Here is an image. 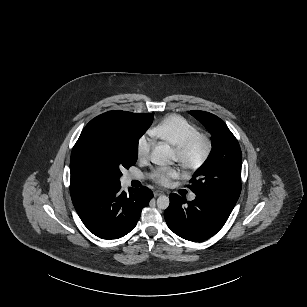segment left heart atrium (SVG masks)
<instances>
[{"label":"left heart atrium","mask_w":307,"mask_h":307,"mask_svg":"<svg viewBox=\"0 0 307 307\" xmlns=\"http://www.w3.org/2000/svg\"><path fill=\"white\" fill-rule=\"evenodd\" d=\"M150 178L161 185H168L173 179L181 177V169L172 165H156L150 171Z\"/></svg>","instance_id":"left-heart-atrium-1"}]
</instances>
